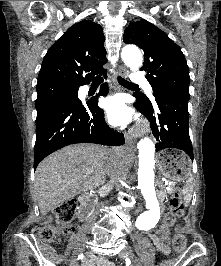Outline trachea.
Returning <instances> with one entry per match:
<instances>
[{
	"label": "trachea",
	"instance_id": "trachea-1",
	"mask_svg": "<svg viewBox=\"0 0 221 266\" xmlns=\"http://www.w3.org/2000/svg\"><path fill=\"white\" fill-rule=\"evenodd\" d=\"M102 82H103V77H101V76H96L95 78L92 79V83L93 84H100ZM118 82H119V84H121L124 87L138 86V85H136V84H134L132 82H129V81L125 80L122 77H118Z\"/></svg>",
	"mask_w": 221,
	"mask_h": 266
}]
</instances>
